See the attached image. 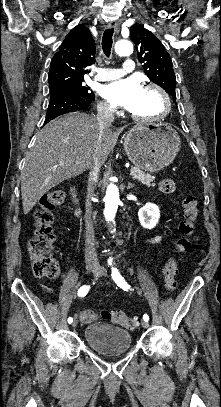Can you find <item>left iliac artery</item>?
<instances>
[{
  "label": "left iliac artery",
  "instance_id": "obj_1",
  "mask_svg": "<svg viewBox=\"0 0 221 407\" xmlns=\"http://www.w3.org/2000/svg\"><path fill=\"white\" fill-rule=\"evenodd\" d=\"M112 278L115 281V283L123 290L128 291L130 289V285L127 284L125 279L120 275L117 268L115 267L114 268L112 267ZM143 319L148 322L149 316L147 314H144Z\"/></svg>",
  "mask_w": 221,
  "mask_h": 407
}]
</instances>
